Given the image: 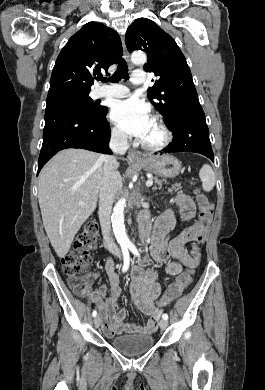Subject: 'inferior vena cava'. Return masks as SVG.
<instances>
[{"label":"inferior vena cava","instance_id":"obj_1","mask_svg":"<svg viewBox=\"0 0 265 390\" xmlns=\"http://www.w3.org/2000/svg\"><path fill=\"white\" fill-rule=\"evenodd\" d=\"M110 149L114 155H103L104 162L103 179L99 191V220L103 238L107 249L116 256H120V250L115 244L111 235V211L115 194L121 187V177L115 166L117 163L116 154H125L128 149L127 135L123 132H113L110 143Z\"/></svg>","mask_w":265,"mask_h":390}]
</instances>
